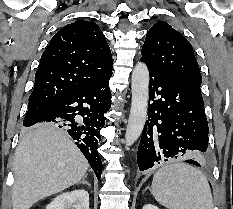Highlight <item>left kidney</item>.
<instances>
[{"instance_id":"1","label":"left kidney","mask_w":233,"mask_h":209,"mask_svg":"<svg viewBox=\"0 0 233 209\" xmlns=\"http://www.w3.org/2000/svg\"><path fill=\"white\" fill-rule=\"evenodd\" d=\"M143 209H158V207L152 205V204H146Z\"/></svg>"}]
</instances>
